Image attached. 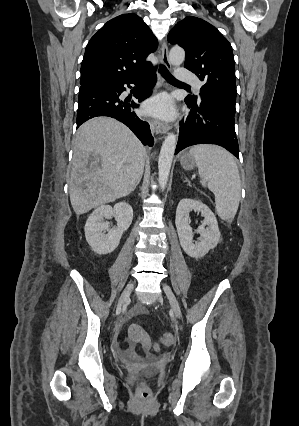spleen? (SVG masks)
<instances>
[{
	"mask_svg": "<svg viewBox=\"0 0 299 426\" xmlns=\"http://www.w3.org/2000/svg\"><path fill=\"white\" fill-rule=\"evenodd\" d=\"M189 153L197 163L202 185L215 195L217 214L231 222L238 210L241 195V181L234 158L214 145H196Z\"/></svg>",
	"mask_w": 299,
	"mask_h": 426,
	"instance_id": "obj_1",
	"label": "spleen"
}]
</instances>
